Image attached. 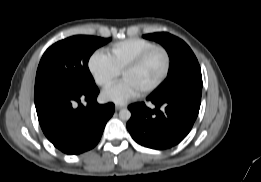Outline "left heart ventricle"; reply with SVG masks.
I'll use <instances>...</instances> for the list:
<instances>
[{
	"instance_id": "obj_1",
	"label": "left heart ventricle",
	"mask_w": 261,
	"mask_h": 182,
	"mask_svg": "<svg viewBox=\"0 0 261 182\" xmlns=\"http://www.w3.org/2000/svg\"><path fill=\"white\" fill-rule=\"evenodd\" d=\"M165 58L160 51L151 54L138 68L123 74V80L130 81L141 91L156 82L163 73Z\"/></svg>"
}]
</instances>
